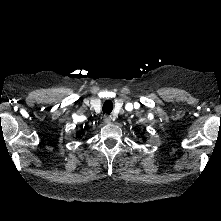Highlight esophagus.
I'll list each match as a JSON object with an SVG mask.
<instances>
[{"label": "esophagus", "mask_w": 221, "mask_h": 221, "mask_svg": "<svg viewBox=\"0 0 221 221\" xmlns=\"http://www.w3.org/2000/svg\"><path fill=\"white\" fill-rule=\"evenodd\" d=\"M103 119H104V122L107 123V124L111 122V116L110 115H104Z\"/></svg>", "instance_id": "esophagus-1"}]
</instances>
